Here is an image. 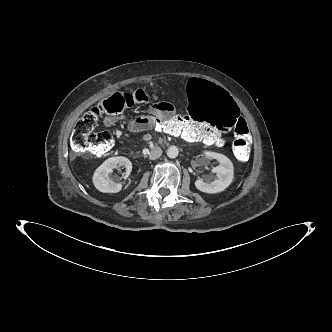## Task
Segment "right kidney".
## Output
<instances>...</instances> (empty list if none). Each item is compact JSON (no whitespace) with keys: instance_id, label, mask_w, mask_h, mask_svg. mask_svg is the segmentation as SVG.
Masks as SVG:
<instances>
[{"instance_id":"right-kidney-1","label":"right kidney","mask_w":332,"mask_h":332,"mask_svg":"<svg viewBox=\"0 0 332 332\" xmlns=\"http://www.w3.org/2000/svg\"><path fill=\"white\" fill-rule=\"evenodd\" d=\"M117 166H124L126 168L124 178L129 177L132 171L131 161L123 156L110 157L93 174V184L97 190L103 193H117L122 189L121 183H116L109 178V174Z\"/></svg>"}]
</instances>
